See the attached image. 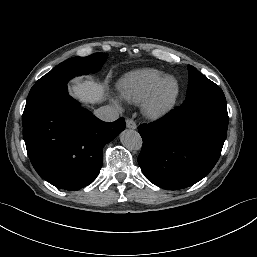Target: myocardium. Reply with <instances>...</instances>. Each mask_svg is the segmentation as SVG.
<instances>
[{"label":"myocardium","mask_w":257,"mask_h":257,"mask_svg":"<svg viewBox=\"0 0 257 257\" xmlns=\"http://www.w3.org/2000/svg\"><path fill=\"white\" fill-rule=\"evenodd\" d=\"M167 80H173L175 82V90L167 101L160 103L161 89ZM180 89V83L175 76H163L155 84L147 98L142 103V109L145 116L150 119H160L166 116L174 108L180 95Z\"/></svg>","instance_id":"f54148a6"}]
</instances>
